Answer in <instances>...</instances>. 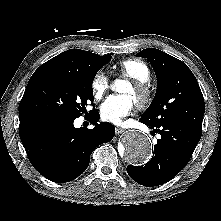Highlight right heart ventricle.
I'll return each mask as SVG.
<instances>
[{
  "label": "right heart ventricle",
  "mask_w": 221,
  "mask_h": 221,
  "mask_svg": "<svg viewBox=\"0 0 221 221\" xmlns=\"http://www.w3.org/2000/svg\"><path fill=\"white\" fill-rule=\"evenodd\" d=\"M118 71L121 75L139 82H148L151 77L149 67L140 59L122 60L118 65Z\"/></svg>",
  "instance_id": "right-heart-ventricle-1"
}]
</instances>
